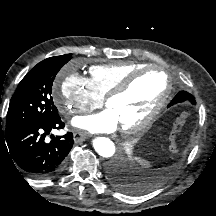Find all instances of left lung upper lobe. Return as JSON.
Returning a JSON list of instances; mask_svg holds the SVG:
<instances>
[{
    "instance_id": "left-lung-upper-lobe-1",
    "label": "left lung upper lobe",
    "mask_w": 216,
    "mask_h": 216,
    "mask_svg": "<svg viewBox=\"0 0 216 216\" xmlns=\"http://www.w3.org/2000/svg\"><path fill=\"white\" fill-rule=\"evenodd\" d=\"M181 92V95H189L190 97H189V101L192 103V104H196V102H195V99H194V97L191 95V94H189L188 92H186V91H180Z\"/></svg>"
}]
</instances>
